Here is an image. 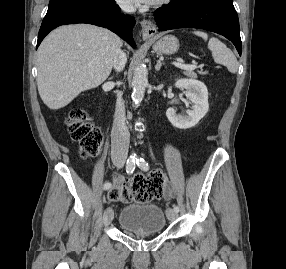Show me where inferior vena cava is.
<instances>
[{"instance_id":"obj_1","label":"inferior vena cava","mask_w":286,"mask_h":269,"mask_svg":"<svg viewBox=\"0 0 286 269\" xmlns=\"http://www.w3.org/2000/svg\"><path fill=\"white\" fill-rule=\"evenodd\" d=\"M120 7L125 12H133L134 7L131 4L122 3ZM127 62L126 54L117 49L114 58L113 66L117 71L123 70ZM129 131L125 125V106L120 93L117 94V102L114 115V123L111 133V155L116 162L124 163L128 156L129 149Z\"/></svg>"}]
</instances>
